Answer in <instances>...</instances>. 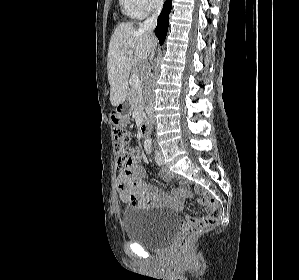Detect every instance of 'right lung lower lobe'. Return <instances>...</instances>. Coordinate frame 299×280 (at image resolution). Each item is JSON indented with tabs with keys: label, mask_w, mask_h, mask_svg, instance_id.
I'll return each instance as SVG.
<instances>
[{
	"label": "right lung lower lobe",
	"mask_w": 299,
	"mask_h": 280,
	"mask_svg": "<svg viewBox=\"0 0 299 280\" xmlns=\"http://www.w3.org/2000/svg\"><path fill=\"white\" fill-rule=\"evenodd\" d=\"M171 8H172V0H166V2L163 5L161 14L158 17V24L155 29V34L159 39L160 45L164 43V40L166 38L168 24H169V14Z\"/></svg>",
	"instance_id": "1"
}]
</instances>
